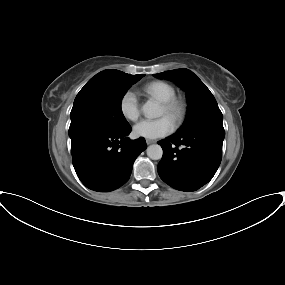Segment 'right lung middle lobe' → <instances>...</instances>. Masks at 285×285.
<instances>
[{
    "label": "right lung middle lobe",
    "instance_id": "obj_1",
    "mask_svg": "<svg viewBox=\"0 0 285 285\" xmlns=\"http://www.w3.org/2000/svg\"><path fill=\"white\" fill-rule=\"evenodd\" d=\"M143 76L120 72L91 78L75 98L69 135L87 127H101L111 131L129 127L121 110V100L131 85Z\"/></svg>",
    "mask_w": 285,
    "mask_h": 285
}]
</instances>
